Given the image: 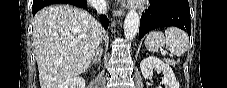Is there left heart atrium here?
Returning <instances> with one entry per match:
<instances>
[{
    "label": "left heart atrium",
    "mask_w": 227,
    "mask_h": 88,
    "mask_svg": "<svg viewBox=\"0 0 227 88\" xmlns=\"http://www.w3.org/2000/svg\"><path fill=\"white\" fill-rule=\"evenodd\" d=\"M130 2H132V3H138L139 1H137V0H133V1H130Z\"/></svg>",
    "instance_id": "1"
}]
</instances>
